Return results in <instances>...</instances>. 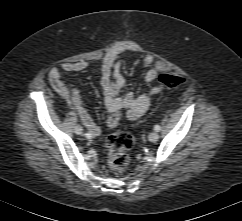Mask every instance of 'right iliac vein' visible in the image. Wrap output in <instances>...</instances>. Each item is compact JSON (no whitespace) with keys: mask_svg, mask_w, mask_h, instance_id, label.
<instances>
[{"mask_svg":"<svg viewBox=\"0 0 242 221\" xmlns=\"http://www.w3.org/2000/svg\"><path fill=\"white\" fill-rule=\"evenodd\" d=\"M75 133L76 134H82L83 133V129H82V127L81 126H76V128H75Z\"/></svg>","mask_w":242,"mask_h":221,"instance_id":"1","label":"right iliac vein"}]
</instances>
